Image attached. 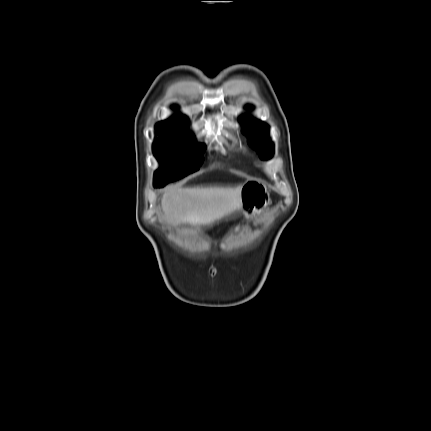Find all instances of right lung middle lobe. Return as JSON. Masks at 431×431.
<instances>
[{
    "label": "right lung middle lobe",
    "mask_w": 431,
    "mask_h": 431,
    "mask_svg": "<svg viewBox=\"0 0 431 431\" xmlns=\"http://www.w3.org/2000/svg\"><path fill=\"white\" fill-rule=\"evenodd\" d=\"M158 139L153 152L160 162L155 172L154 185L163 187L199 170L205 147L198 145L185 130L157 127Z\"/></svg>",
    "instance_id": "1"
}]
</instances>
